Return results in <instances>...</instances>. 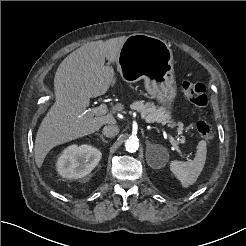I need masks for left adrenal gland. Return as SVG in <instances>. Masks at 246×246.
Listing matches in <instances>:
<instances>
[{
	"label": "left adrenal gland",
	"mask_w": 246,
	"mask_h": 246,
	"mask_svg": "<svg viewBox=\"0 0 246 246\" xmlns=\"http://www.w3.org/2000/svg\"><path fill=\"white\" fill-rule=\"evenodd\" d=\"M146 143H147V146H148V147H149V146H152V144H150L149 141H147ZM153 146H156V145H153Z\"/></svg>",
	"instance_id": "a2214340"
}]
</instances>
